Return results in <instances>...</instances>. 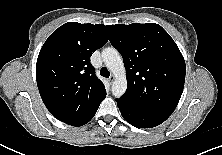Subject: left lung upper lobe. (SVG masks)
<instances>
[{
  "label": "left lung upper lobe",
  "mask_w": 222,
  "mask_h": 155,
  "mask_svg": "<svg viewBox=\"0 0 222 155\" xmlns=\"http://www.w3.org/2000/svg\"><path fill=\"white\" fill-rule=\"evenodd\" d=\"M111 44L121 53L127 91L120 98L138 108L170 116L184 87V58L158 24L107 25Z\"/></svg>",
  "instance_id": "left-lung-upper-lobe-1"
}]
</instances>
